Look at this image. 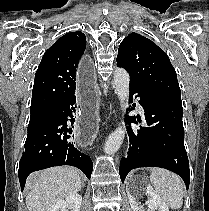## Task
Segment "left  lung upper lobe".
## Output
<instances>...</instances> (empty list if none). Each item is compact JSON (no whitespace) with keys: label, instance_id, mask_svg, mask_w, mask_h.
Here are the masks:
<instances>
[{"label":"left lung upper lobe","instance_id":"5c2ea615","mask_svg":"<svg viewBox=\"0 0 209 211\" xmlns=\"http://www.w3.org/2000/svg\"><path fill=\"white\" fill-rule=\"evenodd\" d=\"M117 65L129 72L130 83L148 93L181 100L175 69L166 53L150 39L129 34L119 46Z\"/></svg>","mask_w":209,"mask_h":211}]
</instances>
